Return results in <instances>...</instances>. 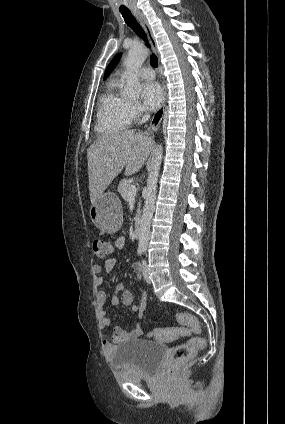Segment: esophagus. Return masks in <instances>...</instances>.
Listing matches in <instances>:
<instances>
[{
	"label": "esophagus",
	"mask_w": 285,
	"mask_h": 424,
	"mask_svg": "<svg viewBox=\"0 0 285 424\" xmlns=\"http://www.w3.org/2000/svg\"><path fill=\"white\" fill-rule=\"evenodd\" d=\"M133 14L138 19V21L141 23L142 27L144 28L145 33L148 37V40H149V42L152 46V49L155 52V54L158 56L156 41L154 39L152 29H151L147 19L139 11H133ZM161 81H162V88H163V102H162L161 107L155 112L152 119L150 120L149 126L147 127V130H146V133H148V134L153 133L154 131H156L158 129V127H159V125L162 121L164 111H165L167 91H166V85H165V81H164L163 77L161 78Z\"/></svg>",
	"instance_id": "obj_1"
}]
</instances>
